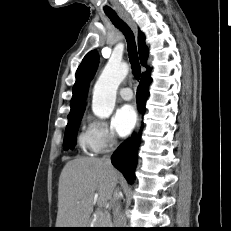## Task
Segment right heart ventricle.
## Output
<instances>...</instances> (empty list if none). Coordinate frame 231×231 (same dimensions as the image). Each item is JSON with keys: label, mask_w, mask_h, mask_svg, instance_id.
<instances>
[{"label": "right heart ventricle", "mask_w": 231, "mask_h": 231, "mask_svg": "<svg viewBox=\"0 0 231 231\" xmlns=\"http://www.w3.org/2000/svg\"><path fill=\"white\" fill-rule=\"evenodd\" d=\"M78 143L81 149L89 153H98L99 149L97 143L89 131V129L83 130L78 136Z\"/></svg>", "instance_id": "obj_1"}]
</instances>
